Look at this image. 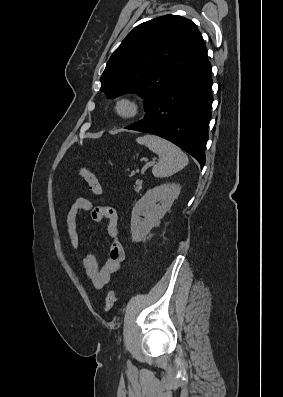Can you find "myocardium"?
Instances as JSON below:
<instances>
[{"label": "myocardium", "instance_id": "myocardium-1", "mask_svg": "<svg viewBox=\"0 0 283 397\" xmlns=\"http://www.w3.org/2000/svg\"><path fill=\"white\" fill-rule=\"evenodd\" d=\"M114 111L119 118L131 120L140 115L142 105L132 96H122L115 102Z\"/></svg>", "mask_w": 283, "mask_h": 397}]
</instances>
